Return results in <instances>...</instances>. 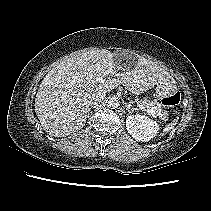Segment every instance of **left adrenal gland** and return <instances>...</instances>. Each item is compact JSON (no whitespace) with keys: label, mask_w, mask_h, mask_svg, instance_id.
<instances>
[{"label":"left adrenal gland","mask_w":211,"mask_h":211,"mask_svg":"<svg viewBox=\"0 0 211 211\" xmlns=\"http://www.w3.org/2000/svg\"><path fill=\"white\" fill-rule=\"evenodd\" d=\"M126 110L128 111V113H131V111H134L135 108H133L131 104H126Z\"/></svg>","instance_id":"left-adrenal-gland-1"}]
</instances>
